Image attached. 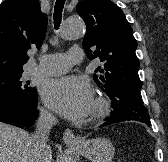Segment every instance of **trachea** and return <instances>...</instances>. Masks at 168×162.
Wrapping results in <instances>:
<instances>
[{"mask_svg":"<svg viewBox=\"0 0 168 162\" xmlns=\"http://www.w3.org/2000/svg\"><path fill=\"white\" fill-rule=\"evenodd\" d=\"M65 0H56L54 7V26L56 29L59 28L62 18V11L64 8Z\"/></svg>","mask_w":168,"mask_h":162,"instance_id":"trachea-1","label":"trachea"}]
</instances>
